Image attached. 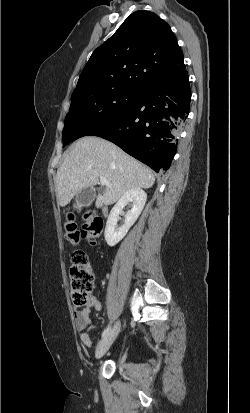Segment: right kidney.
I'll return each mask as SVG.
<instances>
[{"label":"right kidney","instance_id":"right-kidney-1","mask_svg":"<svg viewBox=\"0 0 250 413\" xmlns=\"http://www.w3.org/2000/svg\"><path fill=\"white\" fill-rule=\"evenodd\" d=\"M147 199V194L141 188H132L121 196L112 208L107 219L105 228V240L109 246H115L127 234L130 227L136 222L141 214ZM131 203V210L125 215V222L117 228V220L122 209Z\"/></svg>","mask_w":250,"mask_h":413}]
</instances>
